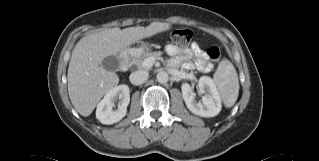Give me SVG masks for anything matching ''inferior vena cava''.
<instances>
[{
	"label": "inferior vena cava",
	"mask_w": 319,
	"mask_h": 161,
	"mask_svg": "<svg viewBox=\"0 0 319 161\" xmlns=\"http://www.w3.org/2000/svg\"><path fill=\"white\" fill-rule=\"evenodd\" d=\"M148 78V72L143 70H138L130 74V82L133 85H141L143 84Z\"/></svg>",
	"instance_id": "1"
}]
</instances>
